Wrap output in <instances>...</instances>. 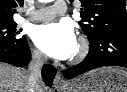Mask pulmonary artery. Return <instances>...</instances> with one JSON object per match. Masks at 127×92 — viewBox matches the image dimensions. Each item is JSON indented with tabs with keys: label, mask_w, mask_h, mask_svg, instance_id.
<instances>
[{
	"label": "pulmonary artery",
	"mask_w": 127,
	"mask_h": 92,
	"mask_svg": "<svg viewBox=\"0 0 127 92\" xmlns=\"http://www.w3.org/2000/svg\"><path fill=\"white\" fill-rule=\"evenodd\" d=\"M67 10L63 1H56L52 6L44 7L32 12L30 20L46 21L50 20L58 14H63Z\"/></svg>",
	"instance_id": "1"
}]
</instances>
